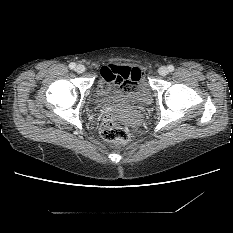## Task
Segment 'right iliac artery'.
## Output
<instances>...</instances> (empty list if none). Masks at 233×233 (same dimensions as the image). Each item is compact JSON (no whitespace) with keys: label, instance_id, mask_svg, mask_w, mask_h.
I'll use <instances>...</instances> for the list:
<instances>
[{"label":"right iliac artery","instance_id":"obj_1","mask_svg":"<svg viewBox=\"0 0 233 233\" xmlns=\"http://www.w3.org/2000/svg\"><path fill=\"white\" fill-rule=\"evenodd\" d=\"M69 67H70V69H75L76 64L72 62V63L69 64Z\"/></svg>","mask_w":233,"mask_h":233}]
</instances>
